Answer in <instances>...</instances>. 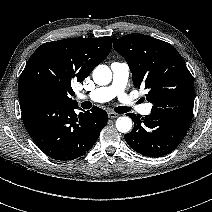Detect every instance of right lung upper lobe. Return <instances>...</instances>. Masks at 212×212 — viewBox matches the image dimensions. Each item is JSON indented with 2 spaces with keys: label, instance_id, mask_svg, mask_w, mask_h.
Instances as JSON below:
<instances>
[{
  "label": "right lung upper lobe",
  "instance_id": "cb5924a9",
  "mask_svg": "<svg viewBox=\"0 0 212 212\" xmlns=\"http://www.w3.org/2000/svg\"><path fill=\"white\" fill-rule=\"evenodd\" d=\"M112 48L110 37L63 39L42 44L29 58L19 82L20 108L41 102L77 104L71 82H82Z\"/></svg>",
  "mask_w": 212,
  "mask_h": 212
}]
</instances>
